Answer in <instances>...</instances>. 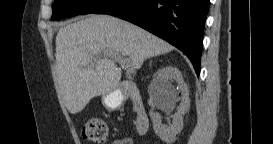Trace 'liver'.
Masks as SVG:
<instances>
[{
    "label": "liver",
    "mask_w": 273,
    "mask_h": 144,
    "mask_svg": "<svg viewBox=\"0 0 273 144\" xmlns=\"http://www.w3.org/2000/svg\"><path fill=\"white\" fill-rule=\"evenodd\" d=\"M174 48L148 31L109 15H91L62 26L56 36V72L68 111L76 114L89 101L116 90L121 71L107 53L128 56L141 68L146 59Z\"/></svg>",
    "instance_id": "1"
}]
</instances>
